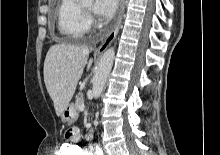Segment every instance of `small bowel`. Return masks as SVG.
Instances as JSON below:
<instances>
[{"mask_svg": "<svg viewBox=\"0 0 220 155\" xmlns=\"http://www.w3.org/2000/svg\"><path fill=\"white\" fill-rule=\"evenodd\" d=\"M65 141H69L70 144H62L61 146H77L72 144H77L80 138V132L77 130V126H66L65 130ZM83 155H91V148H82Z\"/></svg>", "mask_w": 220, "mask_h": 155, "instance_id": "1", "label": "small bowel"}]
</instances>
